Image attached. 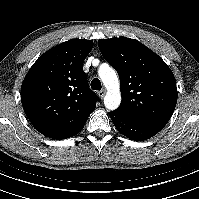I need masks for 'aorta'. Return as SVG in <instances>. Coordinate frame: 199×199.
Wrapping results in <instances>:
<instances>
[{
  "mask_svg": "<svg viewBox=\"0 0 199 199\" xmlns=\"http://www.w3.org/2000/svg\"><path fill=\"white\" fill-rule=\"evenodd\" d=\"M99 76L107 89L104 105L109 110H115L121 103V93L117 74L109 65H102L98 71Z\"/></svg>",
  "mask_w": 199,
  "mask_h": 199,
  "instance_id": "1",
  "label": "aorta"
}]
</instances>
